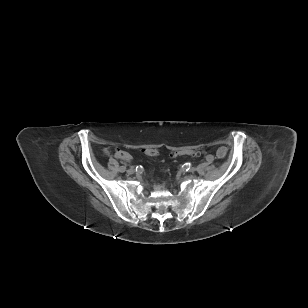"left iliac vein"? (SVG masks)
I'll return each mask as SVG.
<instances>
[{"mask_svg": "<svg viewBox=\"0 0 308 308\" xmlns=\"http://www.w3.org/2000/svg\"><path fill=\"white\" fill-rule=\"evenodd\" d=\"M195 170H196V168H194V167H191V168L189 169V171H190L191 173L195 172Z\"/></svg>", "mask_w": 308, "mask_h": 308, "instance_id": "obj_1", "label": "left iliac vein"}]
</instances>
